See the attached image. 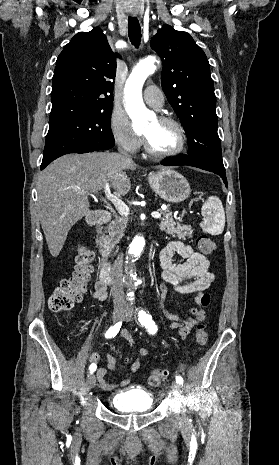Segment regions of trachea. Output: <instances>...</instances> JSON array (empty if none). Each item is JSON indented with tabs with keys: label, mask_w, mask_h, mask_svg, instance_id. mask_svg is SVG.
<instances>
[{
	"label": "trachea",
	"mask_w": 279,
	"mask_h": 465,
	"mask_svg": "<svg viewBox=\"0 0 279 465\" xmlns=\"http://www.w3.org/2000/svg\"><path fill=\"white\" fill-rule=\"evenodd\" d=\"M128 34L131 43L135 46L138 47L141 42V29H140V24L137 18L134 17H129L128 19Z\"/></svg>",
	"instance_id": "trachea-1"
}]
</instances>
